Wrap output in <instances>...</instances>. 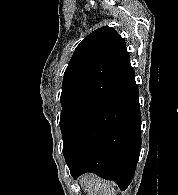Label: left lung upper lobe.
<instances>
[{"mask_svg": "<svg viewBox=\"0 0 178 195\" xmlns=\"http://www.w3.org/2000/svg\"><path fill=\"white\" fill-rule=\"evenodd\" d=\"M124 39L101 27L85 37L65 70L60 97L63 149L135 78Z\"/></svg>", "mask_w": 178, "mask_h": 195, "instance_id": "left-lung-upper-lobe-1", "label": "left lung upper lobe"}]
</instances>
